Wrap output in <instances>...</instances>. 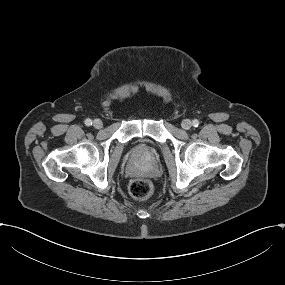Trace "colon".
I'll return each mask as SVG.
<instances>
[{"mask_svg":"<svg viewBox=\"0 0 285 285\" xmlns=\"http://www.w3.org/2000/svg\"><path fill=\"white\" fill-rule=\"evenodd\" d=\"M153 189V184L147 179H134L128 186L130 196L138 201L149 199L153 193Z\"/></svg>","mask_w":285,"mask_h":285,"instance_id":"5ec220e1","label":"colon"}]
</instances>
